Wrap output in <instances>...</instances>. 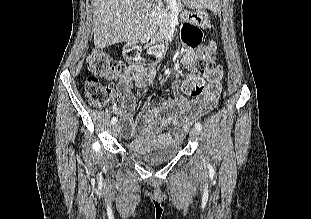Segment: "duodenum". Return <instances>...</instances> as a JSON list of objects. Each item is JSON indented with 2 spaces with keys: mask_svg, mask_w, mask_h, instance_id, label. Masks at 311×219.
Segmentation results:
<instances>
[{
  "mask_svg": "<svg viewBox=\"0 0 311 219\" xmlns=\"http://www.w3.org/2000/svg\"><path fill=\"white\" fill-rule=\"evenodd\" d=\"M167 44V37L161 36L156 28H150L143 32L141 37L132 42L127 50V58L131 62H139L142 55H155L164 49ZM151 45L153 47L151 48Z\"/></svg>",
  "mask_w": 311,
  "mask_h": 219,
  "instance_id": "410a0bca",
  "label": "duodenum"
}]
</instances>
